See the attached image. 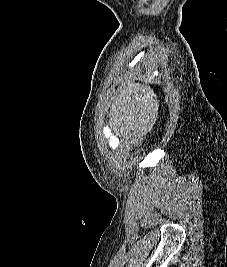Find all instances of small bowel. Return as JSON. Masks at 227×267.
Masks as SVG:
<instances>
[{"label":"small bowel","mask_w":227,"mask_h":267,"mask_svg":"<svg viewBox=\"0 0 227 267\" xmlns=\"http://www.w3.org/2000/svg\"><path fill=\"white\" fill-rule=\"evenodd\" d=\"M109 146L111 148H118L120 146V142L117 138L115 137H110L109 139Z\"/></svg>","instance_id":"obj_1"}]
</instances>
